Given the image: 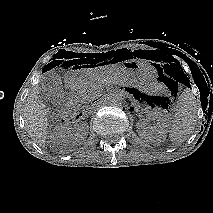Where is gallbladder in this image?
<instances>
[{
    "label": "gallbladder",
    "mask_w": 213,
    "mask_h": 213,
    "mask_svg": "<svg viewBox=\"0 0 213 213\" xmlns=\"http://www.w3.org/2000/svg\"><path fill=\"white\" fill-rule=\"evenodd\" d=\"M38 89L42 99L53 107L63 108L66 96L61 77L56 71H50L39 80Z\"/></svg>",
    "instance_id": "bac80fb5"
}]
</instances>
